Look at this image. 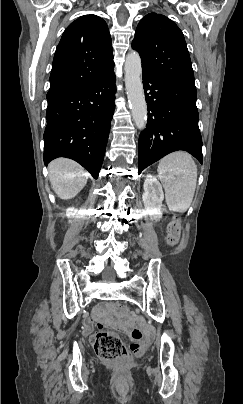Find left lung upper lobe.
Masks as SVG:
<instances>
[{"label": "left lung upper lobe", "mask_w": 243, "mask_h": 404, "mask_svg": "<svg viewBox=\"0 0 243 404\" xmlns=\"http://www.w3.org/2000/svg\"><path fill=\"white\" fill-rule=\"evenodd\" d=\"M142 60V71L162 78L194 83L190 55L182 31L166 16L147 14L132 42Z\"/></svg>", "instance_id": "1"}]
</instances>
